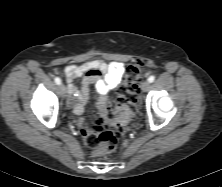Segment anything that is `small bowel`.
<instances>
[{
    "mask_svg": "<svg viewBox=\"0 0 222 187\" xmlns=\"http://www.w3.org/2000/svg\"><path fill=\"white\" fill-rule=\"evenodd\" d=\"M124 73V65L120 62H106L104 60H91L80 65H68L64 69L69 102L73 105L74 113L80 115L90 94V86L95 85L98 93L97 108L103 109L108 101L109 93L116 88ZM77 77H83L80 89L72 82Z\"/></svg>",
    "mask_w": 222,
    "mask_h": 187,
    "instance_id": "small-bowel-1",
    "label": "small bowel"
}]
</instances>
